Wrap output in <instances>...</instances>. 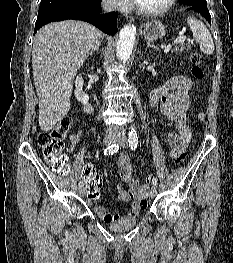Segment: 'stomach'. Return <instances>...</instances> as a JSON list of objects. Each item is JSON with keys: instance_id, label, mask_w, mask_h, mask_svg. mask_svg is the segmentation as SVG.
Returning <instances> with one entry per match:
<instances>
[{"instance_id": "1", "label": "stomach", "mask_w": 233, "mask_h": 263, "mask_svg": "<svg viewBox=\"0 0 233 263\" xmlns=\"http://www.w3.org/2000/svg\"><path fill=\"white\" fill-rule=\"evenodd\" d=\"M165 34V26L159 20L147 22L143 27V36L149 41L161 39Z\"/></svg>"}]
</instances>
